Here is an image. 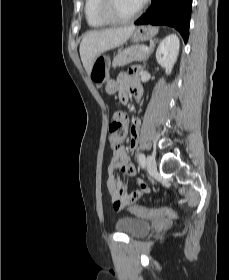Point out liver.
I'll list each match as a JSON object with an SVG mask.
<instances>
[{
	"mask_svg": "<svg viewBox=\"0 0 229 280\" xmlns=\"http://www.w3.org/2000/svg\"><path fill=\"white\" fill-rule=\"evenodd\" d=\"M135 26L86 32L80 44V57L89 74L94 60L106 51L123 45L132 35Z\"/></svg>",
	"mask_w": 229,
	"mask_h": 280,
	"instance_id": "6515ba94",
	"label": "liver"
}]
</instances>
